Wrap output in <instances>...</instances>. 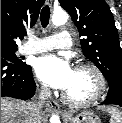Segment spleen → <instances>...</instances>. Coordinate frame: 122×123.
<instances>
[{"label":"spleen","mask_w":122,"mask_h":123,"mask_svg":"<svg viewBox=\"0 0 122 123\" xmlns=\"http://www.w3.org/2000/svg\"><path fill=\"white\" fill-rule=\"evenodd\" d=\"M103 110H106L110 115V123H122V111L114 106H105L102 107Z\"/></svg>","instance_id":"obj_1"}]
</instances>
